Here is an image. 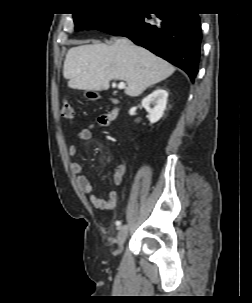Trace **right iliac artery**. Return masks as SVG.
<instances>
[{
    "instance_id": "82829eb1",
    "label": "right iliac artery",
    "mask_w": 252,
    "mask_h": 303,
    "mask_svg": "<svg viewBox=\"0 0 252 303\" xmlns=\"http://www.w3.org/2000/svg\"><path fill=\"white\" fill-rule=\"evenodd\" d=\"M116 224H117V225H121V222H120V221H116Z\"/></svg>"
}]
</instances>
